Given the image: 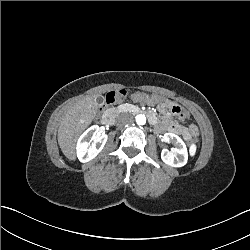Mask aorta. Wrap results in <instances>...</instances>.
Instances as JSON below:
<instances>
[{
	"instance_id": "aorta-1",
	"label": "aorta",
	"mask_w": 250,
	"mask_h": 250,
	"mask_svg": "<svg viewBox=\"0 0 250 250\" xmlns=\"http://www.w3.org/2000/svg\"><path fill=\"white\" fill-rule=\"evenodd\" d=\"M136 123L138 125H145L146 124V116L143 114L136 116Z\"/></svg>"
}]
</instances>
